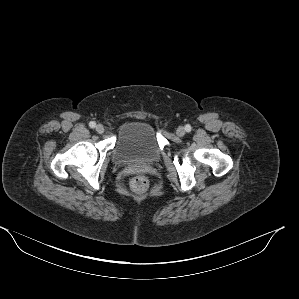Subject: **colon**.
I'll use <instances>...</instances> for the list:
<instances>
[{
  "instance_id": "1",
  "label": "colon",
  "mask_w": 299,
  "mask_h": 299,
  "mask_svg": "<svg viewBox=\"0 0 299 299\" xmlns=\"http://www.w3.org/2000/svg\"><path fill=\"white\" fill-rule=\"evenodd\" d=\"M149 181L143 175H138L134 177L131 181V187L136 192H144L148 189Z\"/></svg>"
}]
</instances>
